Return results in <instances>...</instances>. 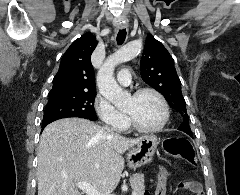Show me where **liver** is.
<instances>
[{"instance_id":"6515ba94","label":"liver","mask_w":240,"mask_h":195,"mask_svg":"<svg viewBox=\"0 0 240 195\" xmlns=\"http://www.w3.org/2000/svg\"><path fill=\"white\" fill-rule=\"evenodd\" d=\"M141 139L109 133L83 117L52 121L39 141L38 195H82L78 181L101 193L114 191L124 169L122 153Z\"/></svg>"}]
</instances>
